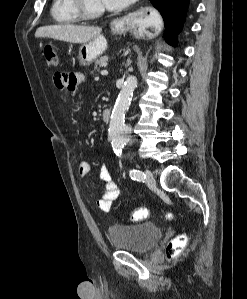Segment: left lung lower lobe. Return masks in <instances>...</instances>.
<instances>
[{
  "mask_svg": "<svg viewBox=\"0 0 247 299\" xmlns=\"http://www.w3.org/2000/svg\"><path fill=\"white\" fill-rule=\"evenodd\" d=\"M152 5L161 13L166 31L164 37L173 46L177 45L176 34L182 28L185 20L188 0H150Z\"/></svg>",
  "mask_w": 247,
  "mask_h": 299,
  "instance_id": "1",
  "label": "left lung lower lobe"
}]
</instances>
